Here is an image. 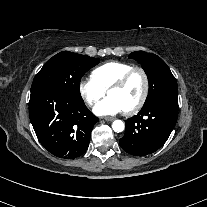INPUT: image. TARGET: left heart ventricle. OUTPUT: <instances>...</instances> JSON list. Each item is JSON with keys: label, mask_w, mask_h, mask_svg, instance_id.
I'll list each match as a JSON object with an SVG mask.
<instances>
[{"label": "left heart ventricle", "mask_w": 207, "mask_h": 207, "mask_svg": "<svg viewBox=\"0 0 207 207\" xmlns=\"http://www.w3.org/2000/svg\"><path fill=\"white\" fill-rule=\"evenodd\" d=\"M144 89L143 78L140 74L133 75L125 86L112 89L108 96L117 99L125 110L131 108L140 99Z\"/></svg>", "instance_id": "b2bd125f"}]
</instances>
